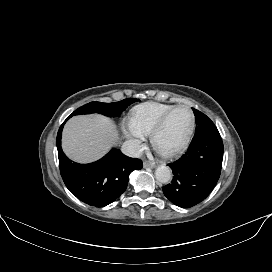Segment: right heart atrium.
<instances>
[{
  "label": "right heart atrium",
  "instance_id": "d8ad5b80",
  "mask_svg": "<svg viewBox=\"0 0 272 272\" xmlns=\"http://www.w3.org/2000/svg\"><path fill=\"white\" fill-rule=\"evenodd\" d=\"M124 133H125V136L127 137V140L129 142V145L132 151L135 154H138L142 150V147H143L142 145L143 138L141 136L136 135L132 131L125 130Z\"/></svg>",
  "mask_w": 272,
  "mask_h": 272
}]
</instances>
